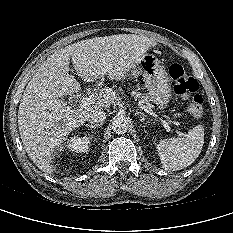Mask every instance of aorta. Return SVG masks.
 Returning a JSON list of instances; mask_svg holds the SVG:
<instances>
[{"label":"aorta","mask_w":233,"mask_h":233,"mask_svg":"<svg viewBox=\"0 0 233 233\" xmlns=\"http://www.w3.org/2000/svg\"><path fill=\"white\" fill-rule=\"evenodd\" d=\"M130 126L129 121L125 117H115L112 120V129L116 134H124Z\"/></svg>","instance_id":"1"}]
</instances>
